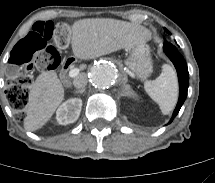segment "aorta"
Instances as JSON below:
<instances>
[{"label":"aorta","instance_id":"762f6f07","mask_svg":"<svg viewBox=\"0 0 215 183\" xmlns=\"http://www.w3.org/2000/svg\"><path fill=\"white\" fill-rule=\"evenodd\" d=\"M117 77V67L108 61H101L92 65L88 74L89 81L98 89L111 88L116 82Z\"/></svg>","mask_w":215,"mask_h":183}]
</instances>
